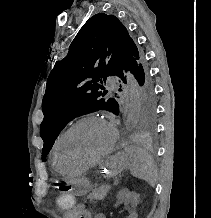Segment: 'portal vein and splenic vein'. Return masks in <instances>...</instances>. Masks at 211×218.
Segmentation results:
<instances>
[{
    "mask_svg": "<svg viewBox=\"0 0 211 218\" xmlns=\"http://www.w3.org/2000/svg\"><path fill=\"white\" fill-rule=\"evenodd\" d=\"M108 187H109V188H112V185H109Z\"/></svg>",
    "mask_w": 211,
    "mask_h": 218,
    "instance_id": "18ae733b",
    "label": "portal vein and splenic vein"
}]
</instances>
